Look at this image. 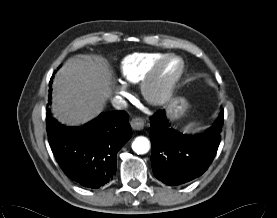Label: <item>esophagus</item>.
I'll list each match as a JSON object with an SVG mask.
<instances>
[{
  "mask_svg": "<svg viewBox=\"0 0 277 218\" xmlns=\"http://www.w3.org/2000/svg\"><path fill=\"white\" fill-rule=\"evenodd\" d=\"M133 130H141L144 127V120L140 117H135L130 121Z\"/></svg>",
  "mask_w": 277,
  "mask_h": 218,
  "instance_id": "obj_1",
  "label": "esophagus"
}]
</instances>
